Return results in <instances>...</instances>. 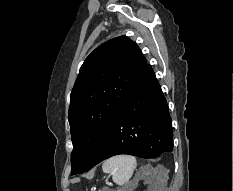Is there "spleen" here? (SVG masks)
<instances>
[{
	"label": "spleen",
	"mask_w": 233,
	"mask_h": 191,
	"mask_svg": "<svg viewBox=\"0 0 233 191\" xmlns=\"http://www.w3.org/2000/svg\"><path fill=\"white\" fill-rule=\"evenodd\" d=\"M137 167L136 158L130 155H118L106 160L102 165L104 173L112 175L113 181L123 186L128 183Z\"/></svg>",
	"instance_id": "obj_1"
}]
</instances>
